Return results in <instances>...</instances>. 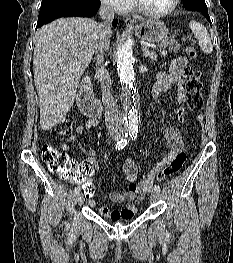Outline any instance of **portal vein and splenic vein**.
Listing matches in <instances>:
<instances>
[{
  "label": "portal vein and splenic vein",
  "mask_w": 233,
  "mask_h": 263,
  "mask_svg": "<svg viewBox=\"0 0 233 263\" xmlns=\"http://www.w3.org/2000/svg\"><path fill=\"white\" fill-rule=\"evenodd\" d=\"M161 54L165 56L167 54V51L163 50Z\"/></svg>",
  "instance_id": "1"
}]
</instances>
